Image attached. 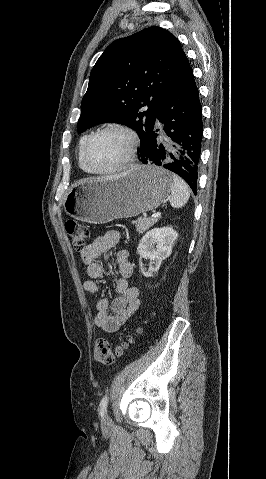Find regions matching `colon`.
<instances>
[{
	"label": "colon",
	"mask_w": 266,
	"mask_h": 479,
	"mask_svg": "<svg viewBox=\"0 0 266 479\" xmlns=\"http://www.w3.org/2000/svg\"><path fill=\"white\" fill-rule=\"evenodd\" d=\"M65 230L71 240L72 246L77 251H83L89 240V230L84 225L74 220L65 223ZM129 342H122L112 346L106 339L100 338L96 341L94 356L100 364L110 366L115 359L120 357L127 348Z\"/></svg>",
	"instance_id": "5ec220e1"
}]
</instances>
